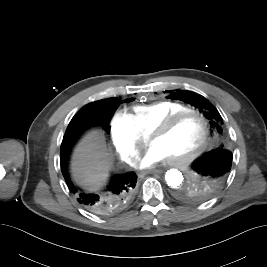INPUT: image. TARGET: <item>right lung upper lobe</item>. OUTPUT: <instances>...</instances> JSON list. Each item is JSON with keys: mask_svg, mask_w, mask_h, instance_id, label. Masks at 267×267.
Here are the masks:
<instances>
[{"mask_svg": "<svg viewBox=\"0 0 267 267\" xmlns=\"http://www.w3.org/2000/svg\"><path fill=\"white\" fill-rule=\"evenodd\" d=\"M102 101V100H101ZM93 103H95V104H100V101H97V102H93Z\"/></svg>", "mask_w": 267, "mask_h": 267, "instance_id": "cb5924a9", "label": "right lung upper lobe"}]
</instances>
